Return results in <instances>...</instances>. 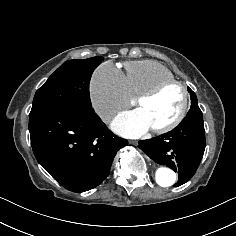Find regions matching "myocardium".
<instances>
[{"label": "myocardium", "instance_id": "myocardium-1", "mask_svg": "<svg viewBox=\"0 0 236 236\" xmlns=\"http://www.w3.org/2000/svg\"><path fill=\"white\" fill-rule=\"evenodd\" d=\"M170 87H177L180 89L183 96V104L178 116L173 121L165 126L150 129L153 133L158 135L167 134L176 129L184 122L190 108V92L188 88L178 80H165L156 84L136 98L137 105H141L142 103L153 99L161 92Z\"/></svg>", "mask_w": 236, "mask_h": 236}]
</instances>
